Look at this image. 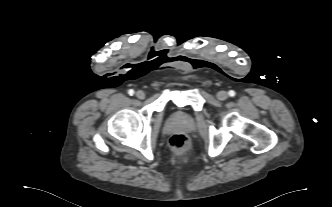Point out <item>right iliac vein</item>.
Returning <instances> with one entry per match:
<instances>
[{
  "mask_svg": "<svg viewBox=\"0 0 332 207\" xmlns=\"http://www.w3.org/2000/svg\"><path fill=\"white\" fill-rule=\"evenodd\" d=\"M136 97L138 98V99H144L145 98V93L143 92V91H141V90H139V91H137L136 92Z\"/></svg>",
  "mask_w": 332,
  "mask_h": 207,
  "instance_id": "right-iliac-vein-1",
  "label": "right iliac vein"
}]
</instances>
